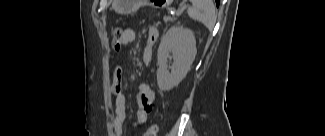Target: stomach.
Returning a JSON list of instances; mask_svg holds the SVG:
<instances>
[{
    "mask_svg": "<svg viewBox=\"0 0 325 136\" xmlns=\"http://www.w3.org/2000/svg\"><path fill=\"white\" fill-rule=\"evenodd\" d=\"M172 0H114V9L121 14H130L135 12L142 4L148 3L156 8H166Z\"/></svg>",
    "mask_w": 325,
    "mask_h": 136,
    "instance_id": "1",
    "label": "stomach"
}]
</instances>
